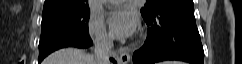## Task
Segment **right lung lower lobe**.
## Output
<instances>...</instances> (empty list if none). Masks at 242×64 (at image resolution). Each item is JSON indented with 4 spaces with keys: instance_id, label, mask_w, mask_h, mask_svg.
<instances>
[{
    "instance_id": "98d812e1",
    "label": "right lung lower lobe",
    "mask_w": 242,
    "mask_h": 64,
    "mask_svg": "<svg viewBox=\"0 0 242 64\" xmlns=\"http://www.w3.org/2000/svg\"><path fill=\"white\" fill-rule=\"evenodd\" d=\"M91 45H92V42H91L90 44L86 45V46H83V48H88V47H90ZM42 60H43V59H42ZM42 60L39 59V62H41ZM110 60H111L113 63L116 64V61H115L114 59L110 58Z\"/></svg>"
}]
</instances>
